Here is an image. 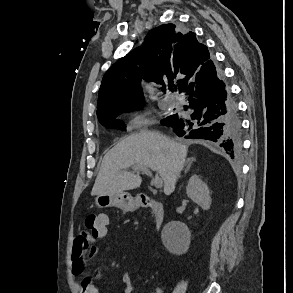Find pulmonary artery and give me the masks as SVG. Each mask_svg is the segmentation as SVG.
I'll list each match as a JSON object with an SVG mask.
<instances>
[{"mask_svg": "<svg viewBox=\"0 0 293 293\" xmlns=\"http://www.w3.org/2000/svg\"><path fill=\"white\" fill-rule=\"evenodd\" d=\"M171 102H172L173 104H178V99H177V97H175V96L171 97Z\"/></svg>", "mask_w": 293, "mask_h": 293, "instance_id": "e3ab8cb5", "label": "pulmonary artery"}]
</instances>
